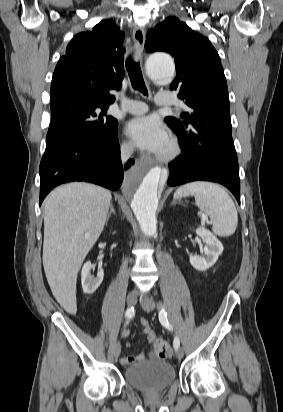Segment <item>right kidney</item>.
Listing matches in <instances>:
<instances>
[{
  "label": "right kidney",
  "mask_w": 283,
  "mask_h": 412,
  "mask_svg": "<svg viewBox=\"0 0 283 412\" xmlns=\"http://www.w3.org/2000/svg\"><path fill=\"white\" fill-rule=\"evenodd\" d=\"M95 269V265H92L91 262H86L83 265L81 271V283L83 292L85 294H92L96 291V289L100 286L101 282L103 281L104 271L100 267L98 268L97 276L91 275V270Z\"/></svg>",
  "instance_id": "ca27d5eb"
}]
</instances>
